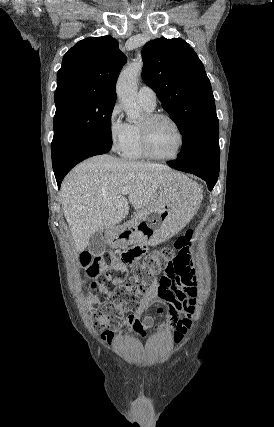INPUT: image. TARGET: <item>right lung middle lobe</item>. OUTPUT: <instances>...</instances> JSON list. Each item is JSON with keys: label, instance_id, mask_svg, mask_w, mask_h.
I'll return each instance as SVG.
<instances>
[{"label": "right lung middle lobe", "instance_id": "dd1d6c3e", "mask_svg": "<svg viewBox=\"0 0 274 427\" xmlns=\"http://www.w3.org/2000/svg\"><path fill=\"white\" fill-rule=\"evenodd\" d=\"M116 97L90 96L56 104L52 165L93 142L111 143V115Z\"/></svg>", "mask_w": 274, "mask_h": 427}]
</instances>
